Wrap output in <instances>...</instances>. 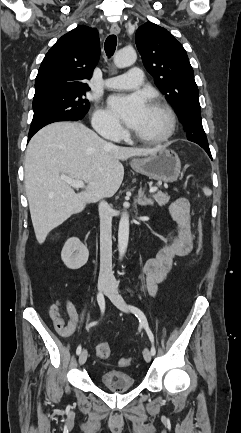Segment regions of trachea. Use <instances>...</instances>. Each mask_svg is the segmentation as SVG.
<instances>
[{"mask_svg": "<svg viewBox=\"0 0 241 433\" xmlns=\"http://www.w3.org/2000/svg\"><path fill=\"white\" fill-rule=\"evenodd\" d=\"M116 45H117L116 35L114 34L109 35L104 44L105 52L108 57H111L114 54Z\"/></svg>", "mask_w": 241, "mask_h": 433, "instance_id": "obj_1", "label": "trachea"}]
</instances>
